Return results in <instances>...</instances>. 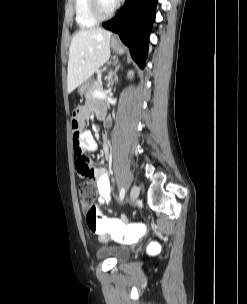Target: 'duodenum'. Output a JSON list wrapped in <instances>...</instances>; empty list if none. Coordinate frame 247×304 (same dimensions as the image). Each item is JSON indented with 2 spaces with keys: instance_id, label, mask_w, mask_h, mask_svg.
Listing matches in <instances>:
<instances>
[{
  "instance_id": "obj_1",
  "label": "duodenum",
  "mask_w": 247,
  "mask_h": 304,
  "mask_svg": "<svg viewBox=\"0 0 247 304\" xmlns=\"http://www.w3.org/2000/svg\"><path fill=\"white\" fill-rule=\"evenodd\" d=\"M96 115H97V117H98L99 119H102L103 116H104V111H103V110H98V111L96 112Z\"/></svg>"
}]
</instances>
